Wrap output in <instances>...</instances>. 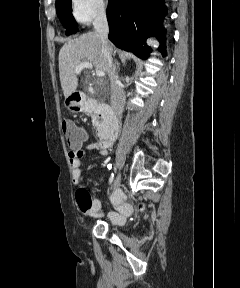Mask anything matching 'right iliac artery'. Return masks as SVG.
<instances>
[{
    "label": "right iliac artery",
    "mask_w": 240,
    "mask_h": 288,
    "mask_svg": "<svg viewBox=\"0 0 240 288\" xmlns=\"http://www.w3.org/2000/svg\"><path fill=\"white\" fill-rule=\"evenodd\" d=\"M111 167H112L111 164L108 165V168H109V169H111ZM113 180H114V173L111 174V176H110V178H109V183L112 184Z\"/></svg>",
    "instance_id": "right-iliac-artery-1"
}]
</instances>
